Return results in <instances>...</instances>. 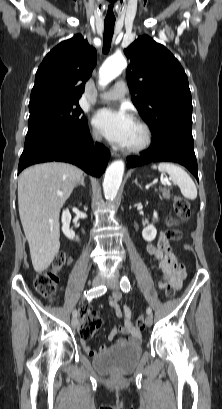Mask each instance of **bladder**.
<instances>
[{
  "mask_svg": "<svg viewBox=\"0 0 222 409\" xmlns=\"http://www.w3.org/2000/svg\"><path fill=\"white\" fill-rule=\"evenodd\" d=\"M142 352V346L138 343L114 345L93 357V367L105 375L130 374L136 369Z\"/></svg>",
  "mask_w": 222,
  "mask_h": 409,
  "instance_id": "obj_1",
  "label": "bladder"
}]
</instances>
